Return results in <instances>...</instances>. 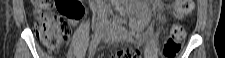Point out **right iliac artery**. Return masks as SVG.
Masks as SVG:
<instances>
[{
  "label": "right iliac artery",
  "instance_id": "right-iliac-artery-1",
  "mask_svg": "<svg viewBox=\"0 0 225 58\" xmlns=\"http://www.w3.org/2000/svg\"><path fill=\"white\" fill-rule=\"evenodd\" d=\"M98 44H99L98 40H92L91 41L89 51H88V58H92V56L94 54V51H95Z\"/></svg>",
  "mask_w": 225,
  "mask_h": 58
}]
</instances>
